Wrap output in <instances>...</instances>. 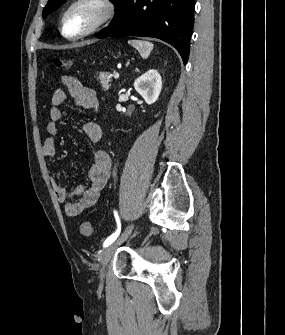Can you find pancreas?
<instances>
[{"mask_svg": "<svg viewBox=\"0 0 285 335\" xmlns=\"http://www.w3.org/2000/svg\"><path fill=\"white\" fill-rule=\"evenodd\" d=\"M98 80H100V86L104 92L109 90L113 80H111V74L109 72H98Z\"/></svg>", "mask_w": 285, "mask_h": 335, "instance_id": "cf45deb5", "label": "pancreas"}]
</instances>
